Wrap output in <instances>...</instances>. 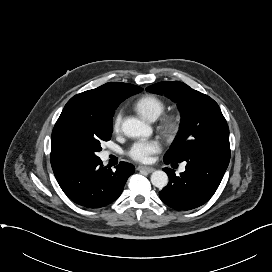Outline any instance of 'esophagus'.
<instances>
[{
	"label": "esophagus",
	"mask_w": 272,
	"mask_h": 272,
	"mask_svg": "<svg viewBox=\"0 0 272 272\" xmlns=\"http://www.w3.org/2000/svg\"><path fill=\"white\" fill-rule=\"evenodd\" d=\"M137 169L139 171H146L148 173H151V172L155 171V169L153 167H148V166H138Z\"/></svg>",
	"instance_id": "34e87169"
}]
</instances>
